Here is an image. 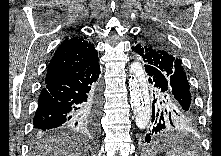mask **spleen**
Instances as JSON below:
<instances>
[{
	"mask_svg": "<svg viewBox=\"0 0 221 156\" xmlns=\"http://www.w3.org/2000/svg\"><path fill=\"white\" fill-rule=\"evenodd\" d=\"M166 156H196V153L191 149L180 148L167 153Z\"/></svg>",
	"mask_w": 221,
	"mask_h": 156,
	"instance_id": "spleen-1",
	"label": "spleen"
}]
</instances>
